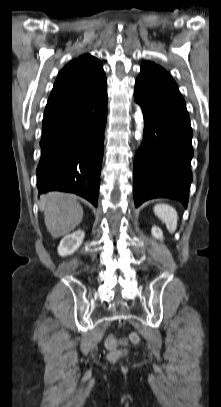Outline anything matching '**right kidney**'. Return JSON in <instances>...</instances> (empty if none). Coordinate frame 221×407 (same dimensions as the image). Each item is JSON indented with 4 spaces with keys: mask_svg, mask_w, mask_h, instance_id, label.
Returning a JSON list of instances; mask_svg holds the SVG:
<instances>
[{
    "mask_svg": "<svg viewBox=\"0 0 221 407\" xmlns=\"http://www.w3.org/2000/svg\"><path fill=\"white\" fill-rule=\"evenodd\" d=\"M85 233L82 230H77L72 234L66 235L58 246V253L61 256L73 254L82 244Z\"/></svg>",
    "mask_w": 221,
    "mask_h": 407,
    "instance_id": "right-kidney-1",
    "label": "right kidney"
}]
</instances>
